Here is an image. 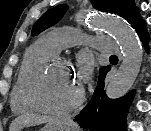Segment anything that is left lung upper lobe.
I'll list each match as a JSON object with an SVG mask.
<instances>
[{
    "instance_id": "5c2ea615",
    "label": "left lung upper lobe",
    "mask_w": 151,
    "mask_h": 131,
    "mask_svg": "<svg viewBox=\"0 0 151 131\" xmlns=\"http://www.w3.org/2000/svg\"><path fill=\"white\" fill-rule=\"evenodd\" d=\"M92 4L95 9L105 12L115 13L129 23L139 13L135 6L134 0H93ZM67 5L62 4L46 11L33 25L32 35H37L46 28L57 23L67 10ZM104 68V67H103ZM100 71H102V69Z\"/></svg>"
}]
</instances>
